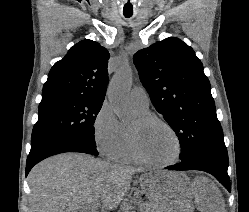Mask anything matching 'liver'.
Returning <instances> with one entry per match:
<instances>
[{
  "instance_id": "1",
  "label": "liver",
  "mask_w": 249,
  "mask_h": 212,
  "mask_svg": "<svg viewBox=\"0 0 249 212\" xmlns=\"http://www.w3.org/2000/svg\"><path fill=\"white\" fill-rule=\"evenodd\" d=\"M135 172L145 170L109 164L87 154L52 156L28 174L29 206L32 212H93V206L113 212L130 190ZM138 184L154 212H160L170 192L181 186L192 192L198 212H225V200L208 178H195L191 184L186 174L173 176L161 170L142 174Z\"/></svg>"
}]
</instances>
